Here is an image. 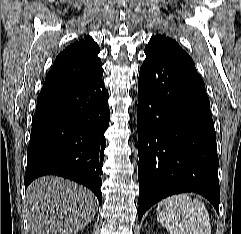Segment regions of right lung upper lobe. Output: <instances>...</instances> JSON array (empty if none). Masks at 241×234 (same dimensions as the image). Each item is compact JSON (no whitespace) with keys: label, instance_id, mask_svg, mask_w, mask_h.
<instances>
[{"label":"right lung upper lobe","instance_id":"obj_1","mask_svg":"<svg viewBox=\"0 0 241 234\" xmlns=\"http://www.w3.org/2000/svg\"><path fill=\"white\" fill-rule=\"evenodd\" d=\"M99 52L97 43L88 35L75 41L56 57L43 88L75 82L94 73L102 66Z\"/></svg>","mask_w":241,"mask_h":234}]
</instances>
